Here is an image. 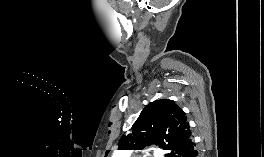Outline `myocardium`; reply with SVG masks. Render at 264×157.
Instances as JSON below:
<instances>
[{
    "instance_id": "obj_1",
    "label": "myocardium",
    "mask_w": 264,
    "mask_h": 157,
    "mask_svg": "<svg viewBox=\"0 0 264 157\" xmlns=\"http://www.w3.org/2000/svg\"><path fill=\"white\" fill-rule=\"evenodd\" d=\"M133 157H144V156H133Z\"/></svg>"
}]
</instances>
